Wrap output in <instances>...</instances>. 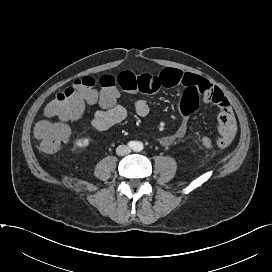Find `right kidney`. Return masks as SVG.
<instances>
[{
	"mask_svg": "<svg viewBox=\"0 0 272 272\" xmlns=\"http://www.w3.org/2000/svg\"><path fill=\"white\" fill-rule=\"evenodd\" d=\"M89 138H80L76 141V146L79 148H85L89 145Z\"/></svg>",
	"mask_w": 272,
	"mask_h": 272,
	"instance_id": "obj_1",
	"label": "right kidney"
}]
</instances>
